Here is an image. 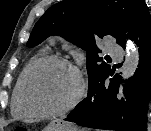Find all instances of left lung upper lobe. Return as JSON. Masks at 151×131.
I'll return each mask as SVG.
<instances>
[{"mask_svg":"<svg viewBox=\"0 0 151 131\" xmlns=\"http://www.w3.org/2000/svg\"><path fill=\"white\" fill-rule=\"evenodd\" d=\"M143 0H63L51 6L35 24L28 47L59 35L87 52L89 87L111 69L99 56L97 40L108 35L125 42Z\"/></svg>","mask_w":151,"mask_h":131,"instance_id":"left-lung-upper-lobe-1","label":"left lung upper lobe"}]
</instances>
